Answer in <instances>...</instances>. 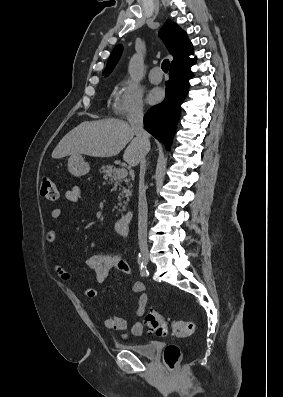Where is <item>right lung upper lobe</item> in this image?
I'll use <instances>...</instances> for the list:
<instances>
[{"instance_id":"obj_1","label":"right lung upper lobe","mask_w":283,"mask_h":397,"mask_svg":"<svg viewBox=\"0 0 283 397\" xmlns=\"http://www.w3.org/2000/svg\"><path fill=\"white\" fill-rule=\"evenodd\" d=\"M161 37L163 38L170 54L174 57L171 66L192 60L189 58V55L193 54V46L191 42L189 41L186 33L170 19H168L163 26ZM121 52L122 46H115L108 59L103 75L107 76L112 72L121 56Z\"/></svg>"}]
</instances>
